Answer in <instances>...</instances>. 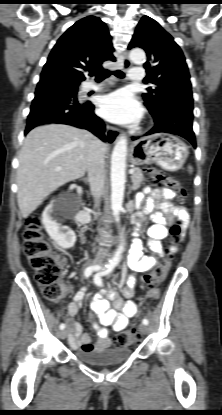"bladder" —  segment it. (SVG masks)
Here are the masks:
<instances>
[{"mask_svg": "<svg viewBox=\"0 0 222 415\" xmlns=\"http://www.w3.org/2000/svg\"><path fill=\"white\" fill-rule=\"evenodd\" d=\"M131 355L132 350L125 347L107 349L104 351L78 350L74 352V357L78 361L96 367H105L123 363L129 359Z\"/></svg>", "mask_w": 222, "mask_h": 415, "instance_id": "1", "label": "bladder"}]
</instances>
